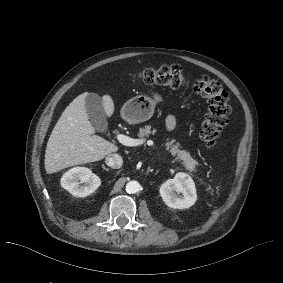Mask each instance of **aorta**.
<instances>
[{
	"instance_id": "1",
	"label": "aorta",
	"mask_w": 283,
	"mask_h": 283,
	"mask_svg": "<svg viewBox=\"0 0 283 283\" xmlns=\"http://www.w3.org/2000/svg\"><path fill=\"white\" fill-rule=\"evenodd\" d=\"M140 187L139 182L132 180L126 184V191L130 194H134L140 190Z\"/></svg>"
}]
</instances>
